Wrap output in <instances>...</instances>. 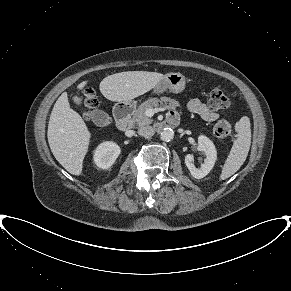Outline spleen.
<instances>
[{
  "label": "spleen",
  "mask_w": 291,
  "mask_h": 291,
  "mask_svg": "<svg viewBox=\"0 0 291 291\" xmlns=\"http://www.w3.org/2000/svg\"><path fill=\"white\" fill-rule=\"evenodd\" d=\"M237 138L222 168L219 180H225L236 173L245 162L251 145V128L248 117H242L235 125Z\"/></svg>",
  "instance_id": "spleen-1"
}]
</instances>
